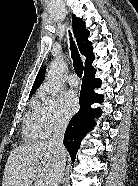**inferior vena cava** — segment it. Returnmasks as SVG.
I'll return each instance as SVG.
<instances>
[{
	"mask_svg": "<svg viewBox=\"0 0 138 186\" xmlns=\"http://www.w3.org/2000/svg\"><path fill=\"white\" fill-rule=\"evenodd\" d=\"M67 128V121H59L55 127L53 136L48 141V145L55 149L56 158L48 176L47 186H59L63 177L66 165L65 147L63 145L64 134Z\"/></svg>",
	"mask_w": 138,
	"mask_h": 186,
	"instance_id": "1",
	"label": "inferior vena cava"
}]
</instances>
